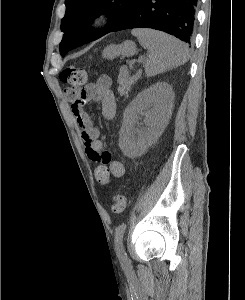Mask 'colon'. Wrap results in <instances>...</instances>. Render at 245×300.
<instances>
[{
    "label": "colon",
    "mask_w": 245,
    "mask_h": 300,
    "mask_svg": "<svg viewBox=\"0 0 245 300\" xmlns=\"http://www.w3.org/2000/svg\"><path fill=\"white\" fill-rule=\"evenodd\" d=\"M60 80L69 85L64 94L68 101L76 102L88 81L86 71L76 65H70L60 73ZM126 201L123 195L115 194L113 196L112 211L122 213L125 210Z\"/></svg>",
    "instance_id": "colon-1"
}]
</instances>
